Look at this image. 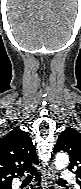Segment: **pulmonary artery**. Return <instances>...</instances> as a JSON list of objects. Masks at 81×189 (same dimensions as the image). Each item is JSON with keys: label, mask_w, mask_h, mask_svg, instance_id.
I'll use <instances>...</instances> for the list:
<instances>
[{"label": "pulmonary artery", "mask_w": 81, "mask_h": 189, "mask_svg": "<svg viewBox=\"0 0 81 189\" xmlns=\"http://www.w3.org/2000/svg\"><path fill=\"white\" fill-rule=\"evenodd\" d=\"M62 178L66 181H71V182H74L75 181V176L74 174L71 172V171H64L63 174H62Z\"/></svg>", "instance_id": "pulmonary-artery-1"}]
</instances>
